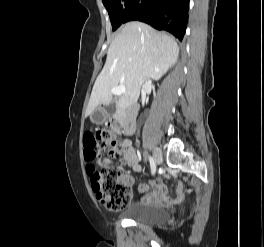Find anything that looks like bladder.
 I'll use <instances>...</instances> for the list:
<instances>
[{
	"mask_svg": "<svg viewBox=\"0 0 264 247\" xmlns=\"http://www.w3.org/2000/svg\"><path fill=\"white\" fill-rule=\"evenodd\" d=\"M125 216L135 222L150 226H160L169 222L171 212L161 206L136 202L127 209Z\"/></svg>",
	"mask_w": 264,
	"mask_h": 247,
	"instance_id": "bladder-1",
	"label": "bladder"
}]
</instances>
